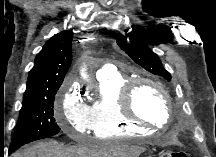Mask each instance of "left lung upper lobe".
Returning <instances> with one entry per match:
<instances>
[{
	"mask_svg": "<svg viewBox=\"0 0 216 157\" xmlns=\"http://www.w3.org/2000/svg\"><path fill=\"white\" fill-rule=\"evenodd\" d=\"M146 43H150L147 38L138 40L131 38L117 40L118 46L125 51L134 62L152 74L161 76L170 81L171 74L165 70L159 57L152 52Z\"/></svg>",
	"mask_w": 216,
	"mask_h": 157,
	"instance_id": "1",
	"label": "left lung upper lobe"
}]
</instances>
